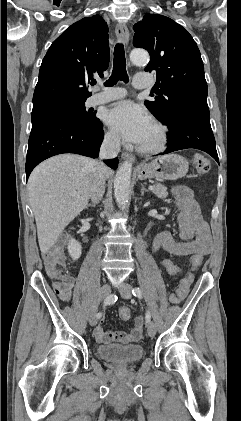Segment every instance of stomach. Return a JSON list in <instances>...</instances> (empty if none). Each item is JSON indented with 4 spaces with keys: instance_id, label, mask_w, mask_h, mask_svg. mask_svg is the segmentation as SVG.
Segmentation results:
<instances>
[{
    "instance_id": "0dacf381",
    "label": "stomach",
    "mask_w": 241,
    "mask_h": 421,
    "mask_svg": "<svg viewBox=\"0 0 241 421\" xmlns=\"http://www.w3.org/2000/svg\"><path fill=\"white\" fill-rule=\"evenodd\" d=\"M188 161L180 155L168 154L143 162L136 169L138 179L176 180L188 172Z\"/></svg>"
}]
</instances>
